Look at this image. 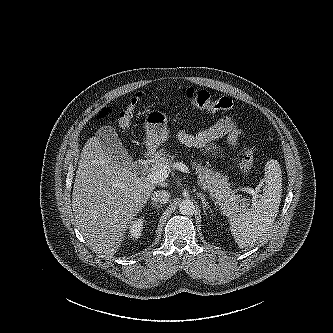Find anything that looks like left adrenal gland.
Listing matches in <instances>:
<instances>
[{
	"instance_id": "obj_1",
	"label": "left adrenal gland",
	"mask_w": 333,
	"mask_h": 333,
	"mask_svg": "<svg viewBox=\"0 0 333 333\" xmlns=\"http://www.w3.org/2000/svg\"><path fill=\"white\" fill-rule=\"evenodd\" d=\"M197 196L201 199L203 205V211L206 214V210H208L209 208L208 202L206 201L204 194L197 192Z\"/></svg>"
}]
</instances>
